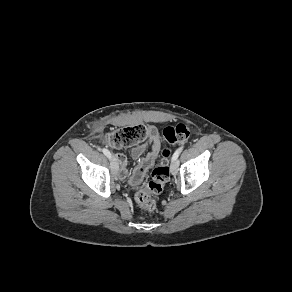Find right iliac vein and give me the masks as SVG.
I'll return each mask as SVG.
<instances>
[{
	"mask_svg": "<svg viewBox=\"0 0 292 292\" xmlns=\"http://www.w3.org/2000/svg\"><path fill=\"white\" fill-rule=\"evenodd\" d=\"M111 169L114 174L118 173V163L115 157L111 158Z\"/></svg>",
	"mask_w": 292,
	"mask_h": 292,
	"instance_id": "right-iliac-vein-1",
	"label": "right iliac vein"
}]
</instances>
